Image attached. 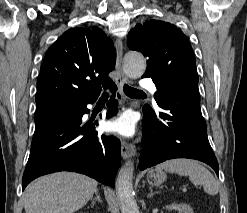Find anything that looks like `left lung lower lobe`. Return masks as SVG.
Listing matches in <instances>:
<instances>
[{
    "label": "left lung lower lobe",
    "mask_w": 247,
    "mask_h": 213,
    "mask_svg": "<svg viewBox=\"0 0 247 213\" xmlns=\"http://www.w3.org/2000/svg\"><path fill=\"white\" fill-rule=\"evenodd\" d=\"M160 111L143 119L139 169L174 158H190L210 165L218 175V162L207 138L200 104L164 97Z\"/></svg>",
    "instance_id": "obj_1"
}]
</instances>
